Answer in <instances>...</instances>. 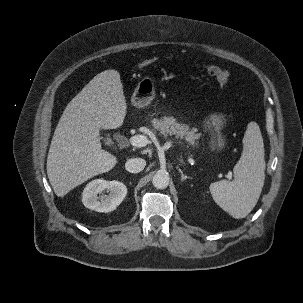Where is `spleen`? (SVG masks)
I'll use <instances>...</instances> for the list:
<instances>
[{"label": "spleen", "mask_w": 303, "mask_h": 303, "mask_svg": "<svg viewBox=\"0 0 303 303\" xmlns=\"http://www.w3.org/2000/svg\"><path fill=\"white\" fill-rule=\"evenodd\" d=\"M264 143L256 122L247 125L243 151L234 166V180L210 185L214 201L233 218L246 217L260 197L265 179Z\"/></svg>", "instance_id": "1"}]
</instances>
